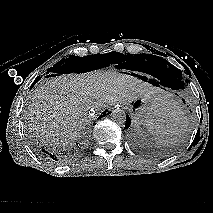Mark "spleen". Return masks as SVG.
Listing matches in <instances>:
<instances>
[{"label":"spleen","mask_w":213,"mask_h":213,"mask_svg":"<svg viewBox=\"0 0 213 213\" xmlns=\"http://www.w3.org/2000/svg\"><path fill=\"white\" fill-rule=\"evenodd\" d=\"M186 116L175 102L169 103L163 111L157 114L153 123L147 125V129L160 144L172 143L183 131Z\"/></svg>","instance_id":"3e777b00"}]
</instances>
